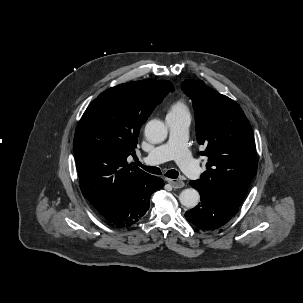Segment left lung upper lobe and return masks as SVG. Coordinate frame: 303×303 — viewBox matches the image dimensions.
<instances>
[{"label": "left lung upper lobe", "instance_id": "obj_1", "mask_svg": "<svg viewBox=\"0 0 303 303\" xmlns=\"http://www.w3.org/2000/svg\"><path fill=\"white\" fill-rule=\"evenodd\" d=\"M182 90L193 102L197 141L208 156L207 170L196 182L241 205L257 170L248 119L236 102L201 80H185Z\"/></svg>", "mask_w": 303, "mask_h": 303}]
</instances>
